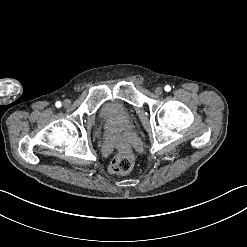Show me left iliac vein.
Instances as JSON below:
<instances>
[{"instance_id":"4c4485c4","label":"left iliac vein","mask_w":247,"mask_h":247,"mask_svg":"<svg viewBox=\"0 0 247 247\" xmlns=\"http://www.w3.org/2000/svg\"><path fill=\"white\" fill-rule=\"evenodd\" d=\"M155 94L156 95H161L163 93V88L161 87H156L155 90H154Z\"/></svg>"}]
</instances>
